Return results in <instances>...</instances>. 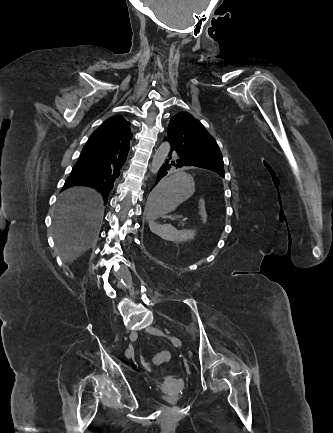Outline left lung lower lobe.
Returning <instances> with one entry per match:
<instances>
[{
    "label": "left lung lower lobe",
    "mask_w": 333,
    "mask_h": 433,
    "mask_svg": "<svg viewBox=\"0 0 333 433\" xmlns=\"http://www.w3.org/2000/svg\"><path fill=\"white\" fill-rule=\"evenodd\" d=\"M168 158L165 161V164L161 166V168L158 171L157 179L155 184H157L161 178H163L165 175H167L169 170H175L178 168H184V167H190L189 163H186L184 161H181L175 154L170 151V153L167 155ZM152 205L147 206V211L149 212L151 210Z\"/></svg>",
    "instance_id": "0a47b994"
}]
</instances>
